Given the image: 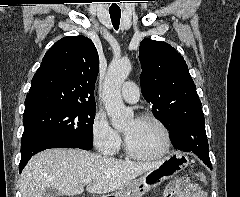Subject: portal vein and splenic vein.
Here are the masks:
<instances>
[{"mask_svg": "<svg viewBox=\"0 0 240 197\" xmlns=\"http://www.w3.org/2000/svg\"><path fill=\"white\" fill-rule=\"evenodd\" d=\"M83 182H84L85 184H87V183H90L91 180H90V179H86V180H84Z\"/></svg>", "mask_w": 240, "mask_h": 197, "instance_id": "obj_1", "label": "portal vein and splenic vein"}]
</instances>
